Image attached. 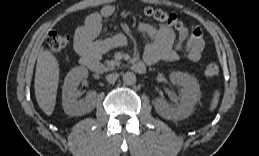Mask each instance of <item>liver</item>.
Returning a JSON list of instances; mask_svg holds the SVG:
<instances>
[{"instance_id":"6515ba94","label":"liver","mask_w":259,"mask_h":156,"mask_svg":"<svg viewBox=\"0 0 259 156\" xmlns=\"http://www.w3.org/2000/svg\"><path fill=\"white\" fill-rule=\"evenodd\" d=\"M59 82V64L50 51L41 49L35 72V96L39 107L50 116L55 107Z\"/></svg>"}]
</instances>
